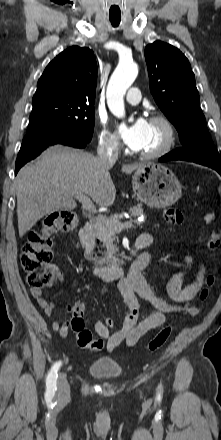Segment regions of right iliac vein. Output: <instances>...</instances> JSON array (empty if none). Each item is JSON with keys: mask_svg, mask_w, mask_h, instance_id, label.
I'll use <instances>...</instances> for the list:
<instances>
[{"mask_svg": "<svg viewBox=\"0 0 221 440\" xmlns=\"http://www.w3.org/2000/svg\"><path fill=\"white\" fill-rule=\"evenodd\" d=\"M58 395L61 399H67L70 395V387L64 374L60 373L58 376Z\"/></svg>", "mask_w": 221, "mask_h": 440, "instance_id": "right-iliac-vein-1", "label": "right iliac vein"}]
</instances>
